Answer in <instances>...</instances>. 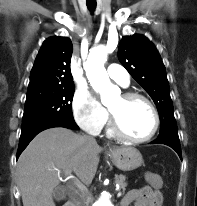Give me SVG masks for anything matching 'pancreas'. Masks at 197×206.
I'll return each mask as SVG.
<instances>
[{"instance_id":"cf45deb5","label":"pancreas","mask_w":197,"mask_h":206,"mask_svg":"<svg viewBox=\"0 0 197 206\" xmlns=\"http://www.w3.org/2000/svg\"><path fill=\"white\" fill-rule=\"evenodd\" d=\"M126 177L124 175H116L115 176V183L119 184L120 187L125 190L127 183L125 182ZM90 197L88 194H82L80 198L76 201V206H86Z\"/></svg>"}]
</instances>
